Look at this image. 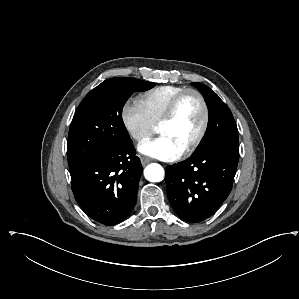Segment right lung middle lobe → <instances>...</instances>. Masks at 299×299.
I'll return each instance as SVG.
<instances>
[{
    "label": "right lung middle lobe",
    "instance_id": "obj_1",
    "mask_svg": "<svg viewBox=\"0 0 299 299\" xmlns=\"http://www.w3.org/2000/svg\"><path fill=\"white\" fill-rule=\"evenodd\" d=\"M153 87V83L132 78L105 80L80 103L68 135L70 171L101 153L119 149L131 142L122 120V109L134 91Z\"/></svg>",
    "mask_w": 299,
    "mask_h": 299
}]
</instances>
